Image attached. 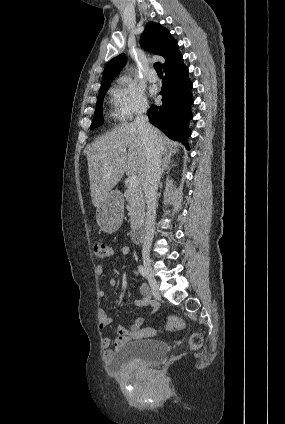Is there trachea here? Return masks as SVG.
<instances>
[{"instance_id": "3493384b", "label": "trachea", "mask_w": 285, "mask_h": 424, "mask_svg": "<svg viewBox=\"0 0 285 424\" xmlns=\"http://www.w3.org/2000/svg\"><path fill=\"white\" fill-rule=\"evenodd\" d=\"M154 68H155L157 74H163L161 64L159 62L154 64Z\"/></svg>"}]
</instances>
